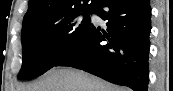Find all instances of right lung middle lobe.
<instances>
[{"mask_svg":"<svg viewBox=\"0 0 173 91\" xmlns=\"http://www.w3.org/2000/svg\"><path fill=\"white\" fill-rule=\"evenodd\" d=\"M93 7L22 28L20 80L38 77L52 68L83 39L92 23Z\"/></svg>","mask_w":173,"mask_h":91,"instance_id":"1","label":"right lung middle lobe"}]
</instances>
